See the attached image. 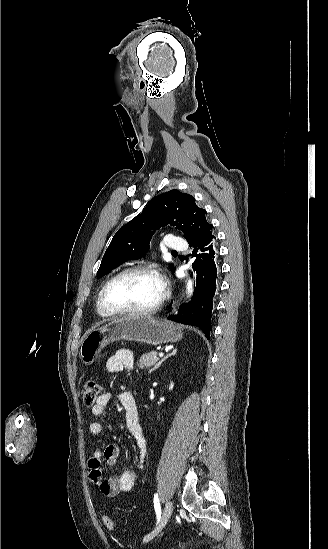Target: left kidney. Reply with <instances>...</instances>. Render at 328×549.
I'll return each mask as SVG.
<instances>
[{
	"label": "left kidney",
	"mask_w": 328,
	"mask_h": 549,
	"mask_svg": "<svg viewBox=\"0 0 328 549\" xmlns=\"http://www.w3.org/2000/svg\"><path fill=\"white\" fill-rule=\"evenodd\" d=\"M173 387H174V385H173V383H171V385L169 387L170 391H172Z\"/></svg>",
	"instance_id": "obj_1"
}]
</instances>
